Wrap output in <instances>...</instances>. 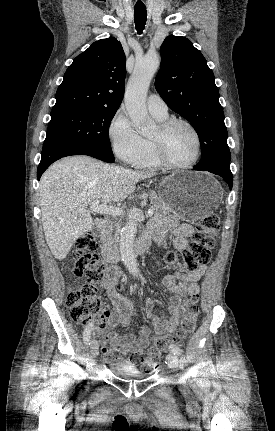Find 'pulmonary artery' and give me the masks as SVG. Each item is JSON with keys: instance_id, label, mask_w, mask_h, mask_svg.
<instances>
[{"instance_id": "obj_1", "label": "pulmonary artery", "mask_w": 275, "mask_h": 431, "mask_svg": "<svg viewBox=\"0 0 275 431\" xmlns=\"http://www.w3.org/2000/svg\"><path fill=\"white\" fill-rule=\"evenodd\" d=\"M147 108L151 114L167 115L168 107L164 100L157 94H150L147 98Z\"/></svg>"}]
</instances>
